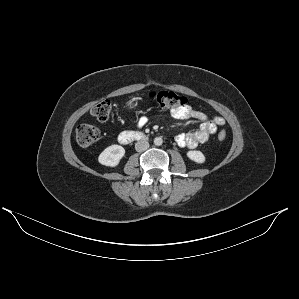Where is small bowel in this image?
I'll return each mask as SVG.
<instances>
[{
    "label": "small bowel",
    "mask_w": 299,
    "mask_h": 299,
    "mask_svg": "<svg viewBox=\"0 0 299 299\" xmlns=\"http://www.w3.org/2000/svg\"><path fill=\"white\" fill-rule=\"evenodd\" d=\"M170 113L176 119H195L201 122L197 131L181 133L176 136L175 141L181 147L194 148L198 145L206 143L217 131V128L225 124V120L222 117H215L214 119L210 120L204 112L198 111L189 105L172 109ZM146 121V117H139L136 121V127L138 129L143 128L146 124Z\"/></svg>",
    "instance_id": "c3829d8e"
}]
</instances>
